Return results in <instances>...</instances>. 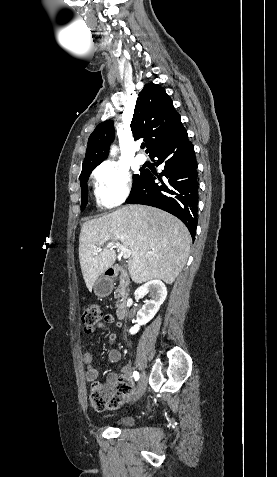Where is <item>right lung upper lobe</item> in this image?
<instances>
[{"mask_svg":"<svg viewBox=\"0 0 277 477\" xmlns=\"http://www.w3.org/2000/svg\"><path fill=\"white\" fill-rule=\"evenodd\" d=\"M134 139L144 138L147 153L164 144L184 127L171 98L164 88L157 84H145L138 95L131 122ZM113 121L107 120L97 125L88 139L82 170L96 167L107 156L114 140Z\"/></svg>","mask_w":277,"mask_h":477,"instance_id":"right-lung-upper-lobe-1","label":"right lung upper lobe"}]
</instances>
